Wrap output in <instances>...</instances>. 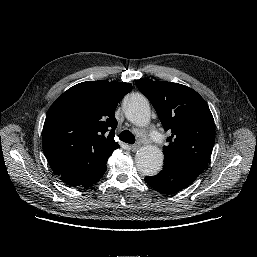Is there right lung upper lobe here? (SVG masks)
Masks as SVG:
<instances>
[{
  "label": "right lung upper lobe",
  "instance_id": "right-lung-upper-lobe-1",
  "mask_svg": "<svg viewBox=\"0 0 257 257\" xmlns=\"http://www.w3.org/2000/svg\"><path fill=\"white\" fill-rule=\"evenodd\" d=\"M130 83L86 81L65 91L49 108L42 146L53 172L70 186H80L98 174L111 153L115 109L131 91Z\"/></svg>",
  "mask_w": 257,
  "mask_h": 257
}]
</instances>
